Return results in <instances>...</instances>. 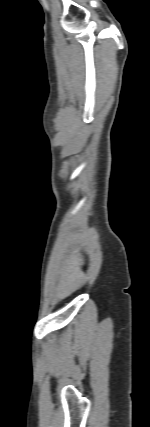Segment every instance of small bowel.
<instances>
[{
  "instance_id": "c3829d8e",
  "label": "small bowel",
  "mask_w": 150,
  "mask_h": 427,
  "mask_svg": "<svg viewBox=\"0 0 150 427\" xmlns=\"http://www.w3.org/2000/svg\"><path fill=\"white\" fill-rule=\"evenodd\" d=\"M70 288H71L70 285L65 286L62 290V293L66 294L70 290Z\"/></svg>"
}]
</instances>
